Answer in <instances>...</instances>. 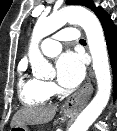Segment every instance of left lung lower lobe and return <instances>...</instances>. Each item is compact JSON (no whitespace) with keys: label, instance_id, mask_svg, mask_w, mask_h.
Returning a JSON list of instances; mask_svg holds the SVG:
<instances>
[{"label":"left lung lower lobe","instance_id":"left-lung-lower-lobe-1","mask_svg":"<svg viewBox=\"0 0 117 131\" xmlns=\"http://www.w3.org/2000/svg\"><path fill=\"white\" fill-rule=\"evenodd\" d=\"M97 17L99 18L106 39V44L108 48V53L111 62V68L113 72V80H114V99H116L117 95V28L111 20L110 16L101 9L97 12Z\"/></svg>","mask_w":117,"mask_h":131}]
</instances>
